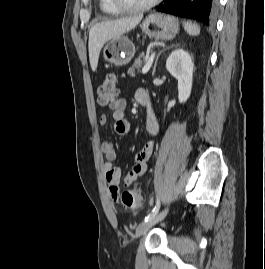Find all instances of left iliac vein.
Returning <instances> with one entry per match:
<instances>
[{
  "label": "left iliac vein",
  "mask_w": 265,
  "mask_h": 269,
  "mask_svg": "<svg viewBox=\"0 0 265 269\" xmlns=\"http://www.w3.org/2000/svg\"><path fill=\"white\" fill-rule=\"evenodd\" d=\"M168 211L169 208L167 207L163 209L161 212H159L157 215H155V217H153L152 219L141 223L136 229L135 237L138 238L144 235L150 228H152L154 225L162 221L166 217Z\"/></svg>",
  "instance_id": "obj_1"
}]
</instances>
